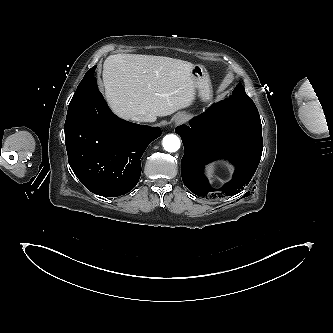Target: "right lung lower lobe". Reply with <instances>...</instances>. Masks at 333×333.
<instances>
[{"label":"right lung lower lobe","instance_id":"obj_1","mask_svg":"<svg viewBox=\"0 0 333 333\" xmlns=\"http://www.w3.org/2000/svg\"><path fill=\"white\" fill-rule=\"evenodd\" d=\"M69 164L92 193L117 197L139 181L140 158L161 135L159 127L134 124L115 116L99 92L96 80L68 109L64 126Z\"/></svg>","mask_w":333,"mask_h":333}]
</instances>
